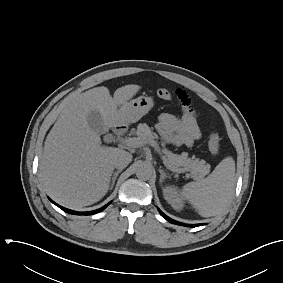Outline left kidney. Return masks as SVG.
<instances>
[{
	"mask_svg": "<svg viewBox=\"0 0 283 283\" xmlns=\"http://www.w3.org/2000/svg\"><path fill=\"white\" fill-rule=\"evenodd\" d=\"M163 195L165 200L177 211L181 210L184 206L183 201L178 194V190L175 186L169 185L163 189Z\"/></svg>",
	"mask_w": 283,
	"mask_h": 283,
	"instance_id": "obj_1",
	"label": "left kidney"
}]
</instances>
